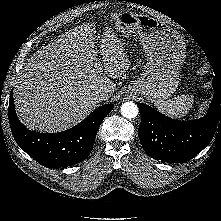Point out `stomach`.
<instances>
[{
    "label": "stomach",
    "instance_id": "stomach-1",
    "mask_svg": "<svg viewBox=\"0 0 221 221\" xmlns=\"http://www.w3.org/2000/svg\"><path fill=\"white\" fill-rule=\"evenodd\" d=\"M114 24L116 32L124 37L137 32L147 57L143 73L126 93L144 96L155 103L168 99L179 84L185 53L182 36L162 21L128 11L117 13Z\"/></svg>",
    "mask_w": 221,
    "mask_h": 221
}]
</instances>
